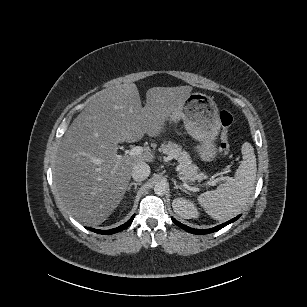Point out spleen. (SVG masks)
I'll use <instances>...</instances> for the list:
<instances>
[{
	"label": "spleen",
	"mask_w": 307,
	"mask_h": 307,
	"mask_svg": "<svg viewBox=\"0 0 307 307\" xmlns=\"http://www.w3.org/2000/svg\"><path fill=\"white\" fill-rule=\"evenodd\" d=\"M241 152L243 161L234 178L220 184L216 190L200 194L197 198L199 204L213 219L223 221L240 212L253 192L257 172L254 148L245 142Z\"/></svg>",
	"instance_id": "obj_1"
}]
</instances>
